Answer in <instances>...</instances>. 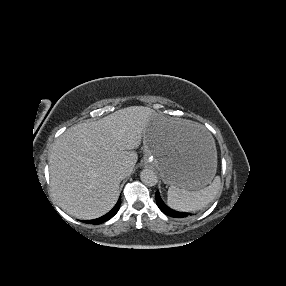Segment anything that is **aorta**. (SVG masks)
I'll return each mask as SVG.
<instances>
[{
    "instance_id": "obj_1",
    "label": "aorta",
    "mask_w": 286,
    "mask_h": 286,
    "mask_svg": "<svg viewBox=\"0 0 286 286\" xmlns=\"http://www.w3.org/2000/svg\"><path fill=\"white\" fill-rule=\"evenodd\" d=\"M141 181L147 186H155L158 183L156 173L151 169H144L140 173Z\"/></svg>"
}]
</instances>
